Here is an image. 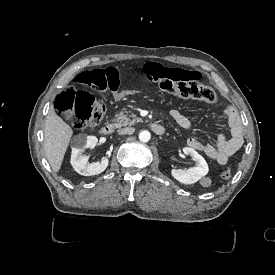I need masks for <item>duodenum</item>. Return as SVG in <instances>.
<instances>
[{"instance_id":"410a0bca","label":"duodenum","mask_w":275,"mask_h":275,"mask_svg":"<svg viewBox=\"0 0 275 275\" xmlns=\"http://www.w3.org/2000/svg\"><path fill=\"white\" fill-rule=\"evenodd\" d=\"M153 133L157 135H162L165 132V128L160 123H152L150 126ZM114 132V125L112 123H107L100 127L99 133L104 136H109Z\"/></svg>"}]
</instances>
